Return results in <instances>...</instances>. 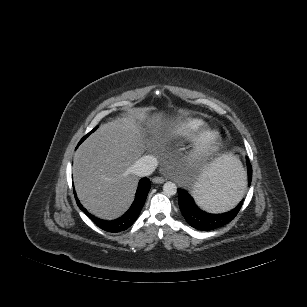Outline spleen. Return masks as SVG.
I'll list each match as a JSON object with an SVG mask.
<instances>
[{
    "instance_id": "obj_1",
    "label": "spleen",
    "mask_w": 307,
    "mask_h": 307,
    "mask_svg": "<svg viewBox=\"0 0 307 307\" xmlns=\"http://www.w3.org/2000/svg\"><path fill=\"white\" fill-rule=\"evenodd\" d=\"M202 183L195 191L197 203L212 212H221L241 204L247 190L244 167L233 153L217 149L200 168Z\"/></svg>"
}]
</instances>
